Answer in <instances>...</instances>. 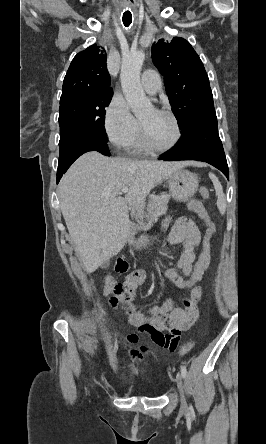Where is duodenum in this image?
Listing matches in <instances>:
<instances>
[{
    "mask_svg": "<svg viewBox=\"0 0 266 444\" xmlns=\"http://www.w3.org/2000/svg\"><path fill=\"white\" fill-rule=\"evenodd\" d=\"M117 264H118V265H120V264L124 265L125 262L122 260V258H119Z\"/></svg>",
    "mask_w": 266,
    "mask_h": 444,
    "instance_id": "410a0bca",
    "label": "duodenum"
}]
</instances>
